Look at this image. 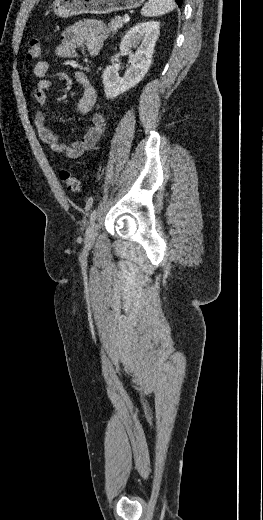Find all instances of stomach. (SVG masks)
<instances>
[{
  "mask_svg": "<svg viewBox=\"0 0 263 520\" xmlns=\"http://www.w3.org/2000/svg\"><path fill=\"white\" fill-rule=\"evenodd\" d=\"M145 0H54L53 12L62 18L79 14H109L139 7Z\"/></svg>",
  "mask_w": 263,
  "mask_h": 520,
  "instance_id": "stomach-1",
  "label": "stomach"
}]
</instances>
